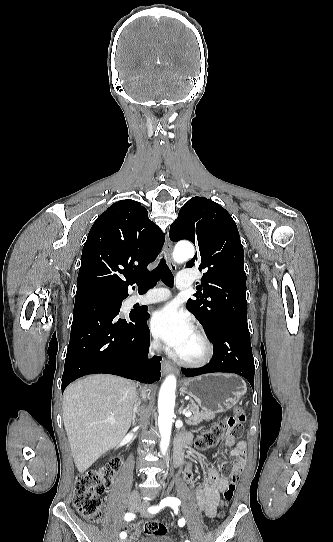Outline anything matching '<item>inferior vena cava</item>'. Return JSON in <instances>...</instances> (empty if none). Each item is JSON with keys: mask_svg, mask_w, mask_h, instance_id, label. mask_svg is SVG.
Returning <instances> with one entry per match:
<instances>
[{"mask_svg": "<svg viewBox=\"0 0 333 542\" xmlns=\"http://www.w3.org/2000/svg\"><path fill=\"white\" fill-rule=\"evenodd\" d=\"M160 346H161V344H160L159 340H155V342H153L152 348H153V350H158V348H160ZM142 398H146L145 392H143Z\"/></svg>", "mask_w": 333, "mask_h": 542, "instance_id": "602c4592", "label": "inferior vena cava"}]
</instances>
